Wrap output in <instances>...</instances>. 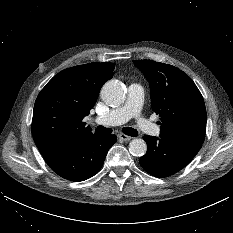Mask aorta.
Listing matches in <instances>:
<instances>
[{
	"label": "aorta",
	"mask_w": 233,
	"mask_h": 233,
	"mask_svg": "<svg viewBox=\"0 0 233 233\" xmlns=\"http://www.w3.org/2000/svg\"><path fill=\"white\" fill-rule=\"evenodd\" d=\"M101 98L109 106L121 105L126 98L123 84L117 80L106 82L101 89ZM129 151L133 156H143L147 151V144L141 138L133 139L129 144Z\"/></svg>",
	"instance_id": "obj_1"
}]
</instances>
